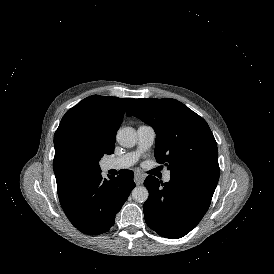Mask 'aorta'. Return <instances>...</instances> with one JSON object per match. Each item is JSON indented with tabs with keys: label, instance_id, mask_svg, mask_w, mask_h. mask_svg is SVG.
I'll return each instance as SVG.
<instances>
[{
	"label": "aorta",
	"instance_id": "762f6f07",
	"mask_svg": "<svg viewBox=\"0 0 274 274\" xmlns=\"http://www.w3.org/2000/svg\"><path fill=\"white\" fill-rule=\"evenodd\" d=\"M118 143L126 148L133 147L137 141L136 131L132 127H124L117 132ZM149 192L146 187L138 186L132 190V198L136 202L143 203L148 199Z\"/></svg>",
	"mask_w": 274,
	"mask_h": 274
}]
</instances>
